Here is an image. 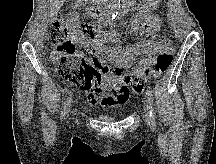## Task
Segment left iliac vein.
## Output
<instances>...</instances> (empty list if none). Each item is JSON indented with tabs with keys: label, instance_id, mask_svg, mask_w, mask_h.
<instances>
[{
	"label": "left iliac vein",
	"instance_id": "4c4485c4",
	"mask_svg": "<svg viewBox=\"0 0 216 164\" xmlns=\"http://www.w3.org/2000/svg\"><path fill=\"white\" fill-rule=\"evenodd\" d=\"M144 118H145L147 125L152 127V117L150 116V107L148 103H145L144 105Z\"/></svg>",
	"mask_w": 216,
	"mask_h": 164
}]
</instances>
